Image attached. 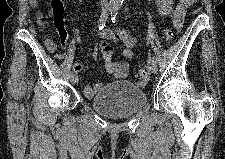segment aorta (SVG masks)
Here are the masks:
<instances>
[{
    "label": "aorta",
    "mask_w": 225,
    "mask_h": 159,
    "mask_svg": "<svg viewBox=\"0 0 225 159\" xmlns=\"http://www.w3.org/2000/svg\"><path fill=\"white\" fill-rule=\"evenodd\" d=\"M122 3V0H110L109 5L111 7H119Z\"/></svg>",
    "instance_id": "1"
}]
</instances>
